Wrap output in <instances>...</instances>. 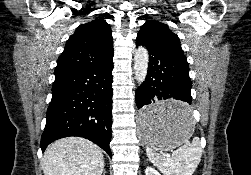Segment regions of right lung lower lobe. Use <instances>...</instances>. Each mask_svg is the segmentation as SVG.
Instances as JSON below:
<instances>
[{
  "label": "right lung lower lobe",
  "instance_id": "obj_1",
  "mask_svg": "<svg viewBox=\"0 0 251 175\" xmlns=\"http://www.w3.org/2000/svg\"><path fill=\"white\" fill-rule=\"evenodd\" d=\"M112 58L102 65L55 74L41 137L42 152L57 139L79 136L111 156Z\"/></svg>",
  "mask_w": 251,
  "mask_h": 175
}]
</instances>
